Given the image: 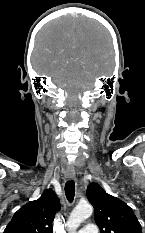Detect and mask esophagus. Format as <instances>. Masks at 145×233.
<instances>
[{"instance_id": "obj_1", "label": "esophagus", "mask_w": 145, "mask_h": 233, "mask_svg": "<svg viewBox=\"0 0 145 233\" xmlns=\"http://www.w3.org/2000/svg\"><path fill=\"white\" fill-rule=\"evenodd\" d=\"M65 177L68 180L75 179V171H74V169H67L66 172H65Z\"/></svg>"}]
</instances>
